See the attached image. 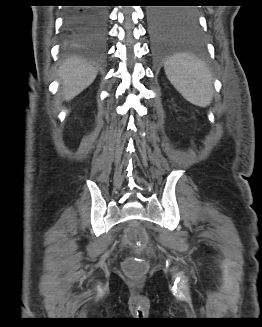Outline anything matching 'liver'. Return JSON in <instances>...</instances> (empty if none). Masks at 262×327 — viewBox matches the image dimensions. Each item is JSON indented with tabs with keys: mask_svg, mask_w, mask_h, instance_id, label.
I'll return each instance as SVG.
<instances>
[{
	"mask_svg": "<svg viewBox=\"0 0 262 327\" xmlns=\"http://www.w3.org/2000/svg\"><path fill=\"white\" fill-rule=\"evenodd\" d=\"M97 71L80 59L66 60L59 70L63 97L69 101L93 83Z\"/></svg>",
	"mask_w": 262,
	"mask_h": 327,
	"instance_id": "liver-1",
	"label": "liver"
}]
</instances>
